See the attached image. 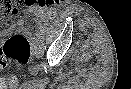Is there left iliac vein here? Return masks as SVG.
I'll return each mask as SVG.
<instances>
[{
	"label": "left iliac vein",
	"mask_w": 131,
	"mask_h": 89,
	"mask_svg": "<svg viewBox=\"0 0 131 89\" xmlns=\"http://www.w3.org/2000/svg\"><path fill=\"white\" fill-rule=\"evenodd\" d=\"M41 53H42V50L39 49L37 54L40 55Z\"/></svg>",
	"instance_id": "4c4485c4"
}]
</instances>
